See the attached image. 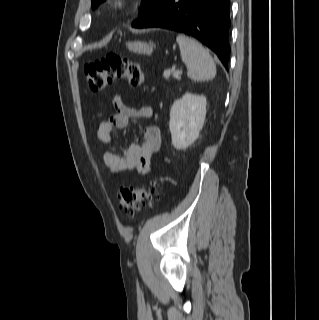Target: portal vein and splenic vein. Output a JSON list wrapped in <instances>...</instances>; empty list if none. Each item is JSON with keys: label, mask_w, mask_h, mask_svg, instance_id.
Masks as SVG:
<instances>
[{"label": "portal vein and splenic vein", "mask_w": 319, "mask_h": 320, "mask_svg": "<svg viewBox=\"0 0 319 320\" xmlns=\"http://www.w3.org/2000/svg\"><path fill=\"white\" fill-rule=\"evenodd\" d=\"M171 73H172V71L166 70V71H164L163 76L167 79V78H169L171 76ZM180 73H181V71H174L173 72V74L175 76L179 75Z\"/></svg>", "instance_id": "1"}]
</instances>
